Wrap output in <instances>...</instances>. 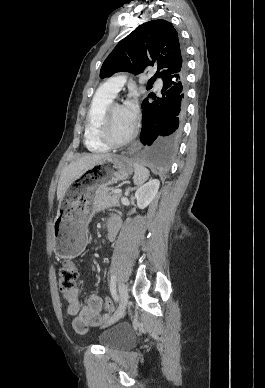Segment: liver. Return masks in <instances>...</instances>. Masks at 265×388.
<instances>
[{
	"instance_id": "6515ba94",
	"label": "liver",
	"mask_w": 265,
	"mask_h": 388,
	"mask_svg": "<svg viewBox=\"0 0 265 388\" xmlns=\"http://www.w3.org/2000/svg\"><path fill=\"white\" fill-rule=\"evenodd\" d=\"M107 156H112V154H87V156H81V158L74 160L69 166L63 168L58 182L57 200H63L69 186H71V182L77 176H80L84 170L92 168L96 162H99L102 158H107Z\"/></svg>"
}]
</instances>
